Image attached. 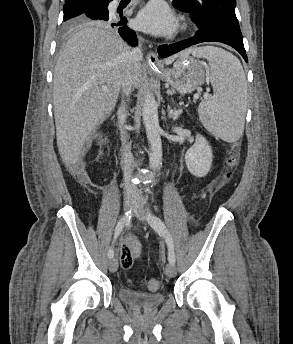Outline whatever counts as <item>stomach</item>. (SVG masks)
I'll use <instances>...</instances> for the list:
<instances>
[{"label":"stomach","mask_w":293,"mask_h":344,"mask_svg":"<svg viewBox=\"0 0 293 344\" xmlns=\"http://www.w3.org/2000/svg\"><path fill=\"white\" fill-rule=\"evenodd\" d=\"M160 74L181 94L195 91L205 82L206 78L202 63L187 53L180 54L173 67L163 70Z\"/></svg>","instance_id":"1"}]
</instances>
